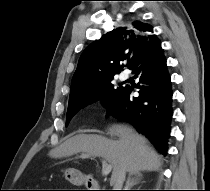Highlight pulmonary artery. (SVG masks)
Returning <instances> with one entry per match:
<instances>
[{"instance_id": "pulmonary-artery-1", "label": "pulmonary artery", "mask_w": 210, "mask_h": 191, "mask_svg": "<svg viewBox=\"0 0 210 191\" xmlns=\"http://www.w3.org/2000/svg\"><path fill=\"white\" fill-rule=\"evenodd\" d=\"M120 78H121L122 80H125V79L128 78V75H127L126 73H122V74L120 75Z\"/></svg>"}]
</instances>
